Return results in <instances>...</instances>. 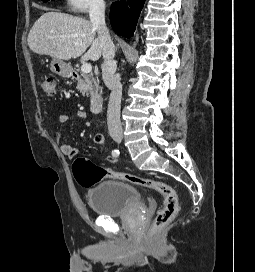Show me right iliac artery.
Masks as SVG:
<instances>
[{"mask_svg": "<svg viewBox=\"0 0 255 272\" xmlns=\"http://www.w3.org/2000/svg\"><path fill=\"white\" fill-rule=\"evenodd\" d=\"M112 156L113 157H118L119 156V150H117V149H114V150H112Z\"/></svg>", "mask_w": 255, "mask_h": 272, "instance_id": "82829eb1", "label": "right iliac artery"}]
</instances>
